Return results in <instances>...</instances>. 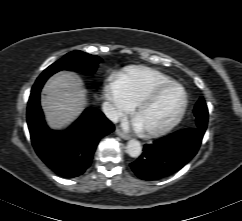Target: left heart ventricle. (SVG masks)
I'll use <instances>...</instances> for the list:
<instances>
[{
  "label": "left heart ventricle",
  "instance_id": "left-heart-ventricle-1",
  "mask_svg": "<svg viewBox=\"0 0 242 221\" xmlns=\"http://www.w3.org/2000/svg\"><path fill=\"white\" fill-rule=\"evenodd\" d=\"M182 100L183 94L180 89H169L155 103L139 112L135 116V120L142 130L159 128L175 116L182 104Z\"/></svg>",
  "mask_w": 242,
  "mask_h": 221
}]
</instances>
